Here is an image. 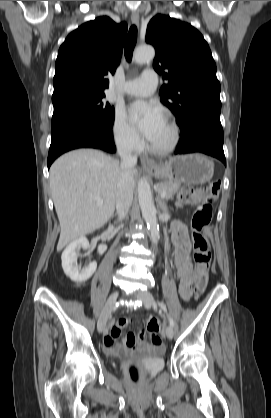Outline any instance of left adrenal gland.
Returning a JSON list of instances; mask_svg holds the SVG:
<instances>
[{
  "label": "left adrenal gland",
  "mask_w": 271,
  "mask_h": 418,
  "mask_svg": "<svg viewBox=\"0 0 271 418\" xmlns=\"http://www.w3.org/2000/svg\"><path fill=\"white\" fill-rule=\"evenodd\" d=\"M157 205L163 212H168V207L164 201H162L159 197H157Z\"/></svg>",
  "instance_id": "left-adrenal-gland-1"
}]
</instances>
